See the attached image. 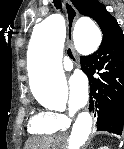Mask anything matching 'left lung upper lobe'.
Here are the masks:
<instances>
[{"label": "left lung upper lobe", "instance_id": "left-lung-upper-lobe-1", "mask_svg": "<svg viewBox=\"0 0 124 149\" xmlns=\"http://www.w3.org/2000/svg\"><path fill=\"white\" fill-rule=\"evenodd\" d=\"M72 3L81 14L96 20L103 33L101 45L124 38L116 19L109 14L103 4L96 0H72Z\"/></svg>", "mask_w": 124, "mask_h": 149}]
</instances>
